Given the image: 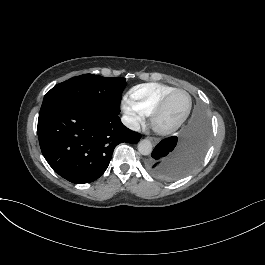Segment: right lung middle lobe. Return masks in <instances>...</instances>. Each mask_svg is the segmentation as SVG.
I'll return each mask as SVG.
<instances>
[{"label":"right lung middle lobe","instance_id":"right-lung-middle-lobe-1","mask_svg":"<svg viewBox=\"0 0 265 265\" xmlns=\"http://www.w3.org/2000/svg\"><path fill=\"white\" fill-rule=\"evenodd\" d=\"M125 86V78H106L94 74L73 77L55 85L45 95L40 111L59 103L70 102L93 112L118 115Z\"/></svg>","mask_w":265,"mask_h":265}]
</instances>
